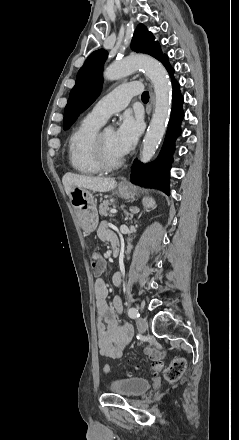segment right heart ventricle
Returning <instances> with one entry per match:
<instances>
[{"label": "right heart ventricle", "mask_w": 239, "mask_h": 440, "mask_svg": "<svg viewBox=\"0 0 239 440\" xmlns=\"http://www.w3.org/2000/svg\"><path fill=\"white\" fill-rule=\"evenodd\" d=\"M101 123L86 116L68 139V161L73 170L81 174L94 175L102 170L92 155L91 145Z\"/></svg>", "instance_id": "obj_1"}]
</instances>
